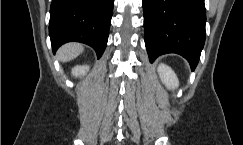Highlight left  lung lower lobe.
Here are the masks:
<instances>
[{
	"label": "left lung lower lobe",
	"instance_id": "0a47b994",
	"mask_svg": "<svg viewBox=\"0 0 243 145\" xmlns=\"http://www.w3.org/2000/svg\"><path fill=\"white\" fill-rule=\"evenodd\" d=\"M145 45L150 61L177 53L197 66L205 42L204 0H142Z\"/></svg>",
	"mask_w": 243,
	"mask_h": 145
}]
</instances>
